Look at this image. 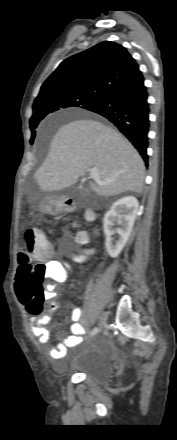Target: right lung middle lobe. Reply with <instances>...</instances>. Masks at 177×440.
<instances>
[{"mask_svg":"<svg viewBox=\"0 0 177 440\" xmlns=\"http://www.w3.org/2000/svg\"><path fill=\"white\" fill-rule=\"evenodd\" d=\"M102 97L103 95L98 93L67 92L36 107L33 106V115L30 119V128L32 131L30 143L33 144L36 134L35 129L47 114L69 107L87 109L89 106L98 102Z\"/></svg>","mask_w":177,"mask_h":440,"instance_id":"obj_1","label":"right lung middle lobe"}]
</instances>
